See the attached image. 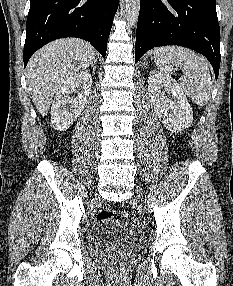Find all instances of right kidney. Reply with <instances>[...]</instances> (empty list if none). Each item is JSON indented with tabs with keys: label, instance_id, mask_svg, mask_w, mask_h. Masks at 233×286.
<instances>
[{
	"label": "right kidney",
	"instance_id": "right-kidney-1",
	"mask_svg": "<svg viewBox=\"0 0 233 286\" xmlns=\"http://www.w3.org/2000/svg\"><path fill=\"white\" fill-rule=\"evenodd\" d=\"M91 86V74L81 71L59 88L51 106V123L56 130H67L79 117L91 93ZM73 93L77 96L73 97Z\"/></svg>",
	"mask_w": 233,
	"mask_h": 286
}]
</instances>
